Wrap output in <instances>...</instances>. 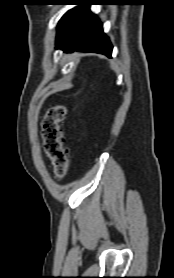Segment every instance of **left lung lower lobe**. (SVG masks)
Returning <instances> with one entry per match:
<instances>
[{
    "label": "left lung lower lobe",
    "instance_id": "0a47b994",
    "mask_svg": "<svg viewBox=\"0 0 174 278\" xmlns=\"http://www.w3.org/2000/svg\"><path fill=\"white\" fill-rule=\"evenodd\" d=\"M98 0H83L79 5L97 4ZM64 52H96L111 57L112 45L102 30V24L88 7L77 8L67 36L57 44Z\"/></svg>",
    "mask_w": 174,
    "mask_h": 278
}]
</instances>
